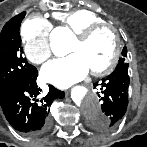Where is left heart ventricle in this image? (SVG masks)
Here are the masks:
<instances>
[{
    "label": "left heart ventricle",
    "mask_w": 147,
    "mask_h": 147,
    "mask_svg": "<svg viewBox=\"0 0 147 147\" xmlns=\"http://www.w3.org/2000/svg\"><path fill=\"white\" fill-rule=\"evenodd\" d=\"M70 51L83 56L90 70L104 67L111 59L114 51L113 34L104 30L97 33L89 42L73 41Z\"/></svg>",
    "instance_id": "b2bd125f"
}]
</instances>
